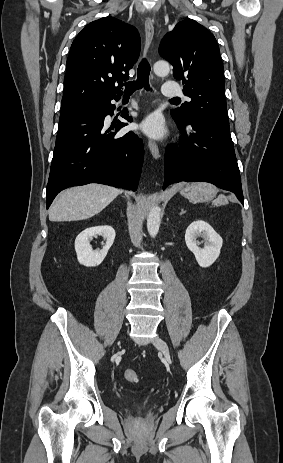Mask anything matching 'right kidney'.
<instances>
[{"label":"right kidney","instance_id":"1","mask_svg":"<svg viewBox=\"0 0 283 463\" xmlns=\"http://www.w3.org/2000/svg\"><path fill=\"white\" fill-rule=\"evenodd\" d=\"M95 235L102 236L106 243L100 251H94L89 239ZM115 239V230L111 226H96L82 231L75 240V251L80 264L95 267L101 264Z\"/></svg>","mask_w":283,"mask_h":463}]
</instances>
